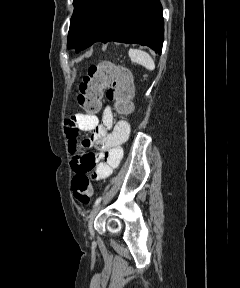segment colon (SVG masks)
<instances>
[{
  "label": "colon",
  "mask_w": 240,
  "mask_h": 288,
  "mask_svg": "<svg viewBox=\"0 0 240 288\" xmlns=\"http://www.w3.org/2000/svg\"><path fill=\"white\" fill-rule=\"evenodd\" d=\"M107 98L115 103L116 112L127 115L132 111V79L129 71L111 63L90 66L79 85L77 101L88 115H96L102 106L103 89ZM74 197L82 204H88L93 191L85 174H76L72 180Z\"/></svg>",
  "instance_id": "colon-1"
}]
</instances>
